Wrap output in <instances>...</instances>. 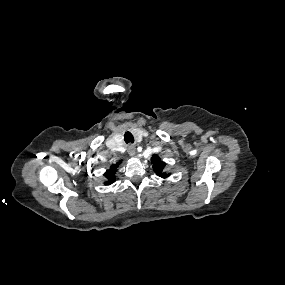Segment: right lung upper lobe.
Returning <instances> with one entry per match:
<instances>
[{
  "label": "right lung upper lobe",
  "mask_w": 285,
  "mask_h": 285,
  "mask_svg": "<svg viewBox=\"0 0 285 285\" xmlns=\"http://www.w3.org/2000/svg\"><path fill=\"white\" fill-rule=\"evenodd\" d=\"M119 164L120 162L115 165H112L110 169L105 172L104 176L107 179L104 183L105 185H110L115 181V169L118 167Z\"/></svg>",
  "instance_id": "obj_1"
}]
</instances>
